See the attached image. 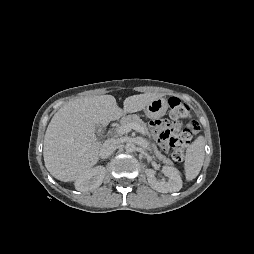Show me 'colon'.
I'll list each match as a JSON object with an SVG mask.
<instances>
[{
  "mask_svg": "<svg viewBox=\"0 0 254 254\" xmlns=\"http://www.w3.org/2000/svg\"><path fill=\"white\" fill-rule=\"evenodd\" d=\"M170 109L169 126L161 130L159 140L162 144L168 145L172 149V157L176 161H182L184 152L193 136L199 132L198 123L189 119L185 123L179 121L189 115L190 109L187 104L180 99L171 97L168 100Z\"/></svg>",
  "mask_w": 254,
  "mask_h": 254,
  "instance_id": "colon-1",
  "label": "colon"
}]
</instances>
